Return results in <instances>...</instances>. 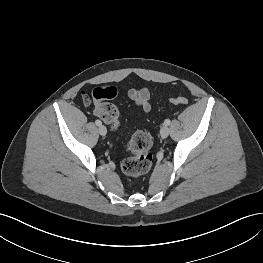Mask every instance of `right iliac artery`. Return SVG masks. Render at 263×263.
I'll list each match as a JSON object with an SVG mask.
<instances>
[{
  "mask_svg": "<svg viewBox=\"0 0 263 263\" xmlns=\"http://www.w3.org/2000/svg\"><path fill=\"white\" fill-rule=\"evenodd\" d=\"M95 124H96L97 126H100V125L102 124V122H101L100 120H96V121H95Z\"/></svg>",
  "mask_w": 263,
  "mask_h": 263,
  "instance_id": "82829eb1",
  "label": "right iliac artery"
}]
</instances>
